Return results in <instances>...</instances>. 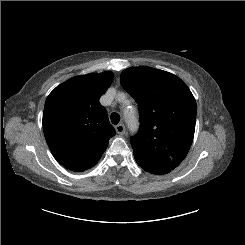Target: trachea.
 Here are the masks:
<instances>
[{
    "label": "trachea",
    "instance_id": "obj_1",
    "mask_svg": "<svg viewBox=\"0 0 245 245\" xmlns=\"http://www.w3.org/2000/svg\"><path fill=\"white\" fill-rule=\"evenodd\" d=\"M119 121H120V116H119V114L118 113H112L111 114V122H112V124H114V125H116V124H118L119 123Z\"/></svg>",
    "mask_w": 245,
    "mask_h": 245
}]
</instances>
